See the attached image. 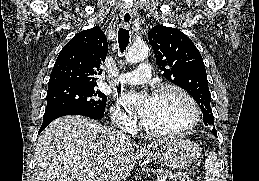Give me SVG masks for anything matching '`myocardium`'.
I'll use <instances>...</instances> for the list:
<instances>
[{
	"label": "myocardium",
	"mask_w": 259,
	"mask_h": 181,
	"mask_svg": "<svg viewBox=\"0 0 259 181\" xmlns=\"http://www.w3.org/2000/svg\"><path fill=\"white\" fill-rule=\"evenodd\" d=\"M175 92L179 94L188 104L190 111H191V120L188 125H186L183 128L177 129V130H169V131H160V130H155L150 128L142 119L141 120V127L143 130L154 137H160V138H166V137H178V136H183L191 131H193L196 126L198 125L200 121V111L199 108L193 99V97L181 86H178L176 84H164L157 89H155L153 93V97L161 95L165 92Z\"/></svg>",
	"instance_id": "1"
}]
</instances>
